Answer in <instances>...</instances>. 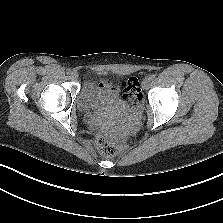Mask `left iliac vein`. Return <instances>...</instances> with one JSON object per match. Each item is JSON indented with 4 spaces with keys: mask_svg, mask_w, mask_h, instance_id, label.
I'll list each match as a JSON object with an SVG mask.
<instances>
[{
    "mask_svg": "<svg viewBox=\"0 0 223 223\" xmlns=\"http://www.w3.org/2000/svg\"><path fill=\"white\" fill-rule=\"evenodd\" d=\"M149 85H150L149 77L144 78L142 81V88L146 90L149 88Z\"/></svg>",
    "mask_w": 223,
    "mask_h": 223,
    "instance_id": "obj_1",
    "label": "left iliac vein"
}]
</instances>
